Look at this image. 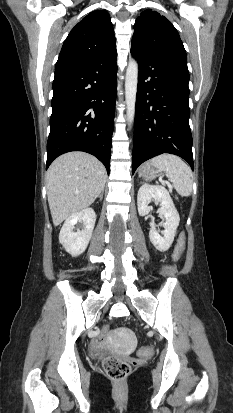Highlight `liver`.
Wrapping results in <instances>:
<instances>
[{"label":"liver","mask_w":233,"mask_h":413,"mask_svg":"<svg viewBox=\"0 0 233 413\" xmlns=\"http://www.w3.org/2000/svg\"><path fill=\"white\" fill-rule=\"evenodd\" d=\"M105 168L85 152H69L49 167L46 188L54 226L90 206L105 186Z\"/></svg>","instance_id":"1"}]
</instances>
